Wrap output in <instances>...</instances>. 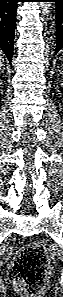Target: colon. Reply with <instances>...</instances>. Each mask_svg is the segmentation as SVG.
<instances>
[{
	"mask_svg": "<svg viewBox=\"0 0 63 297\" xmlns=\"http://www.w3.org/2000/svg\"><path fill=\"white\" fill-rule=\"evenodd\" d=\"M48 277V258L44 247L32 242L20 248L10 268L14 287L19 292L35 295L44 288Z\"/></svg>",
	"mask_w": 63,
	"mask_h": 297,
	"instance_id": "colon-1",
	"label": "colon"
}]
</instances>
